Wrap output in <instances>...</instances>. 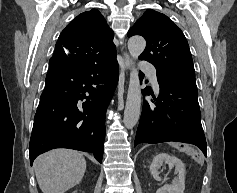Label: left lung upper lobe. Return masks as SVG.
Segmentation results:
<instances>
[{
    "instance_id": "left-lung-upper-lobe-1",
    "label": "left lung upper lobe",
    "mask_w": 237,
    "mask_h": 193,
    "mask_svg": "<svg viewBox=\"0 0 237 193\" xmlns=\"http://www.w3.org/2000/svg\"><path fill=\"white\" fill-rule=\"evenodd\" d=\"M141 35L147 45L140 59L156 67L157 76L181 83L196 84L193 60L188 42L166 15L148 9L128 32V37Z\"/></svg>"
}]
</instances>
